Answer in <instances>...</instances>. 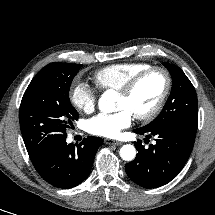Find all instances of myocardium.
<instances>
[{
  "instance_id": "obj_1",
  "label": "myocardium",
  "mask_w": 215,
  "mask_h": 215,
  "mask_svg": "<svg viewBox=\"0 0 215 215\" xmlns=\"http://www.w3.org/2000/svg\"><path fill=\"white\" fill-rule=\"evenodd\" d=\"M152 73H161L165 79V85H164V89H163L157 103L154 105V107L152 109H150L146 113L134 115L137 120L142 121V122H149V121L153 120L162 111V109L167 101V98L171 92V88H172V77H171L170 72L164 67L151 66V67L141 71L134 77H132L118 91L119 94L122 96H125V97L130 96L135 91V89L138 87V85Z\"/></svg>"
}]
</instances>
